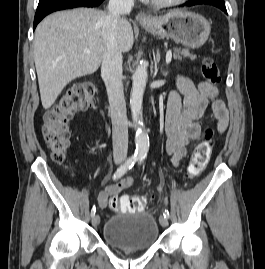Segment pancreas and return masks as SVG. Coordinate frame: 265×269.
<instances>
[{
  "label": "pancreas",
  "instance_id": "obj_1",
  "mask_svg": "<svg viewBox=\"0 0 265 269\" xmlns=\"http://www.w3.org/2000/svg\"><path fill=\"white\" fill-rule=\"evenodd\" d=\"M188 57L191 60H195L197 57L190 53L188 49H175L174 58L181 60L182 58Z\"/></svg>",
  "mask_w": 265,
  "mask_h": 269
}]
</instances>
